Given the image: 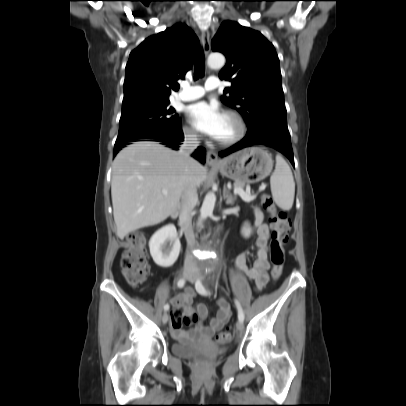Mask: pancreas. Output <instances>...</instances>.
Segmentation results:
<instances>
[{
  "label": "pancreas",
  "mask_w": 406,
  "mask_h": 406,
  "mask_svg": "<svg viewBox=\"0 0 406 406\" xmlns=\"http://www.w3.org/2000/svg\"><path fill=\"white\" fill-rule=\"evenodd\" d=\"M235 187L242 189V188L244 187V185L235 184ZM248 195H249V197H250V200H249V201L242 198L245 202H250V201H252V200H254V199L256 198V195H253V194H251V193H248Z\"/></svg>",
  "instance_id": "obj_1"
}]
</instances>
